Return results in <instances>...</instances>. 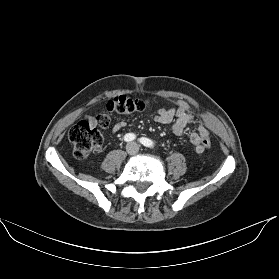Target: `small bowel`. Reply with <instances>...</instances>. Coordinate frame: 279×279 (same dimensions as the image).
<instances>
[{
	"label": "small bowel",
	"instance_id": "obj_1",
	"mask_svg": "<svg viewBox=\"0 0 279 279\" xmlns=\"http://www.w3.org/2000/svg\"><path fill=\"white\" fill-rule=\"evenodd\" d=\"M154 119L157 123L162 125L173 123L174 134L176 136H182L186 126L194 121V116L190 111L189 105L185 101L179 100L174 108L160 109ZM88 120L92 123H96V119L92 116L88 117ZM125 127L126 122L119 121L113 126L111 134ZM204 138H209V132L203 124L197 123L190 134V141L194 145L195 151L199 154L203 153L206 149L203 144Z\"/></svg>",
	"mask_w": 279,
	"mask_h": 279
}]
</instances>
